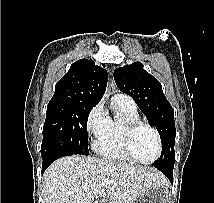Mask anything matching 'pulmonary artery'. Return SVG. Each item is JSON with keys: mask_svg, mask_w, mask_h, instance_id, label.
<instances>
[{"mask_svg": "<svg viewBox=\"0 0 214 203\" xmlns=\"http://www.w3.org/2000/svg\"><path fill=\"white\" fill-rule=\"evenodd\" d=\"M115 96H116V97H119V98H122V99H124V100H126V101H127L128 103H130L132 106H136L134 100H133L131 97L125 95V94H117V95H115Z\"/></svg>", "mask_w": 214, "mask_h": 203, "instance_id": "e3ab8cb5", "label": "pulmonary artery"}]
</instances>
